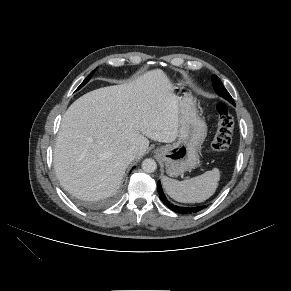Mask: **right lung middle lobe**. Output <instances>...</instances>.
<instances>
[{"label": "right lung middle lobe", "mask_w": 291, "mask_h": 291, "mask_svg": "<svg viewBox=\"0 0 291 291\" xmlns=\"http://www.w3.org/2000/svg\"><path fill=\"white\" fill-rule=\"evenodd\" d=\"M93 73H94V71H92L89 75H88V77L81 83V85L77 88V90L78 89H80L82 86H84L88 81H89V79L92 77V75H93Z\"/></svg>", "instance_id": "right-lung-middle-lobe-1"}]
</instances>
